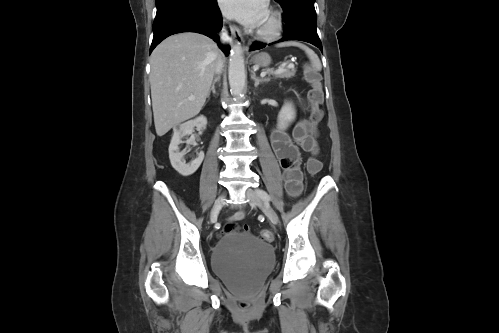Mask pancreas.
Returning <instances> with one entry per match:
<instances>
[{"instance_id":"pancreas-1","label":"pancreas","mask_w":499,"mask_h":333,"mask_svg":"<svg viewBox=\"0 0 499 333\" xmlns=\"http://www.w3.org/2000/svg\"><path fill=\"white\" fill-rule=\"evenodd\" d=\"M268 73L270 75L277 77V78H291V77L295 76L296 70L294 67L291 69H284L281 72H276V71H273L272 69H270V70H268Z\"/></svg>"}]
</instances>
